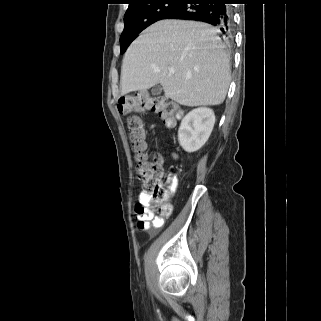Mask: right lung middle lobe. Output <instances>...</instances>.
<instances>
[{
  "mask_svg": "<svg viewBox=\"0 0 321 321\" xmlns=\"http://www.w3.org/2000/svg\"><path fill=\"white\" fill-rule=\"evenodd\" d=\"M181 0H152L132 7L124 16V30L120 37L121 54L145 28L161 19V16L177 6Z\"/></svg>",
  "mask_w": 321,
  "mask_h": 321,
  "instance_id": "1",
  "label": "right lung middle lobe"
}]
</instances>
